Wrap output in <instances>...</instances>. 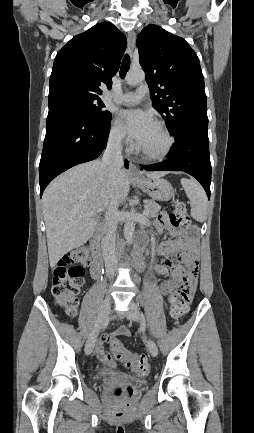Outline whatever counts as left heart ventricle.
<instances>
[{"label":"left heart ventricle","mask_w":254,"mask_h":433,"mask_svg":"<svg viewBox=\"0 0 254 433\" xmlns=\"http://www.w3.org/2000/svg\"><path fill=\"white\" fill-rule=\"evenodd\" d=\"M165 145L166 138L156 125L153 126L145 140L140 144L143 149L151 153L162 151Z\"/></svg>","instance_id":"1"}]
</instances>
